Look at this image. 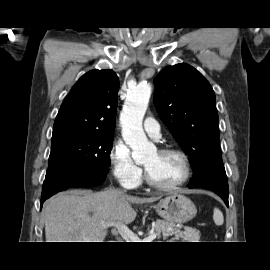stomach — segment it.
Here are the masks:
<instances>
[{"instance_id":"stomach-1","label":"stomach","mask_w":270,"mask_h":270,"mask_svg":"<svg viewBox=\"0 0 270 270\" xmlns=\"http://www.w3.org/2000/svg\"><path fill=\"white\" fill-rule=\"evenodd\" d=\"M155 209L162 218L172 224L186 223L197 213L194 203L179 193H173L161 199Z\"/></svg>"}]
</instances>
